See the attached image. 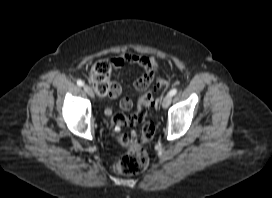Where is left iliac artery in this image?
<instances>
[{
    "label": "left iliac artery",
    "instance_id": "left-iliac-artery-1",
    "mask_svg": "<svg viewBox=\"0 0 272 198\" xmlns=\"http://www.w3.org/2000/svg\"><path fill=\"white\" fill-rule=\"evenodd\" d=\"M177 93V89H172L168 95H170L171 97L174 96Z\"/></svg>",
    "mask_w": 272,
    "mask_h": 198
}]
</instances>
